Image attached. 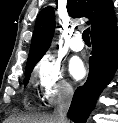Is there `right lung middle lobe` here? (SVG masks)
Here are the masks:
<instances>
[{
    "label": "right lung middle lobe",
    "instance_id": "right-lung-middle-lobe-1",
    "mask_svg": "<svg viewBox=\"0 0 118 123\" xmlns=\"http://www.w3.org/2000/svg\"><path fill=\"white\" fill-rule=\"evenodd\" d=\"M32 70H33V67L25 71V79H24L25 85H26V84L28 83V81H29L30 74H31Z\"/></svg>",
    "mask_w": 118,
    "mask_h": 123
}]
</instances>
